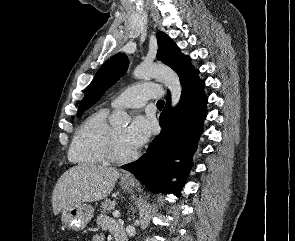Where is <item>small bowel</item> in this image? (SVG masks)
<instances>
[{"label": "small bowel", "mask_w": 295, "mask_h": 241, "mask_svg": "<svg viewBox=\"0 0 295 241\" xmlns=\"http://www.w3.org/2000/svg\"><path fill=\"white\" fill-rule=\"evenodd\" d=\"M97 222L101 229L110 231L115 237L118 234H124L123 226L106 215H99ZM90 241H105L104 234L97 233L90 239Z\"/></svg>", "instance_id": "c3829d8e"}]
</instances>
